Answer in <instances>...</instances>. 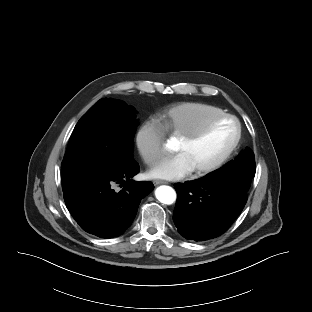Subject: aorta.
<instances>
[{
  "instance_id": "aorta-1",
  "label": "aorta",
  "mask_w": 312,
  "mask_h": 312,
  "mask_svg": "<svg viewBox=\"0 0 312 312\" xmlns=\"http://www.w3.org/2000/svg\"><path fill=\"white\" fill-rule=\"evenodd\" d=\"M156 198L163 204H173L176 200V192L170 186H160L155 191Z\"/></svg>"
}]
</instances>
